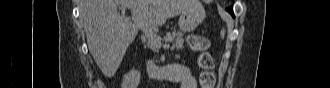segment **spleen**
Masks as SVG:
<instances>
[{
    "label": "spleen",
    "instance_id": "1",
    "mask_svg": "<svg viewBox=\"0 0 330 88\" xmlns=\"http://www.w3.org/2000/svg\"><path fill=\"white\" fill-rule=\"evenodd\" d=\"M225 32H226L225 29H222V30H221V38H222V39H223L224 36H225Z\"/></svg>",
    "mask_w": 330,
    "mask_h": 88
}]
</instances>
